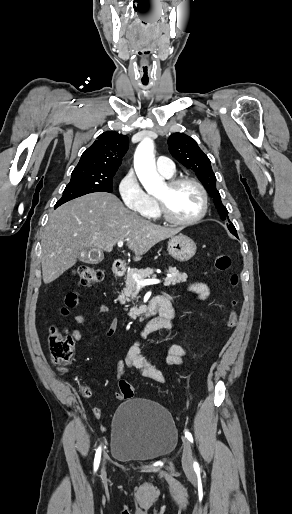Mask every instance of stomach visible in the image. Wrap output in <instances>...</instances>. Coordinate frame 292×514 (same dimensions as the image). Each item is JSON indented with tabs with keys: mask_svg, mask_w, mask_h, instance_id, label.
I'll return each mask as SVG.
<instances>
[{
	"mask_svg": "<svg viewBox=\"0 0 292 514\" xmlns=\"http://www.w3.org/2000/svg\"><path fill=\"white\" fill-rule=\"evenodd\" d=\"M168 252L174 260L187 262V260H190V258L196 254V244L191 238H188V236L179 234V236H174V238L169 240Z\"/></svg>",
	"mask_w": 292,
	"mask_h": 514,
	"instance_id": "stomach-1",
	"label": "stomach"
}]
</instances>
